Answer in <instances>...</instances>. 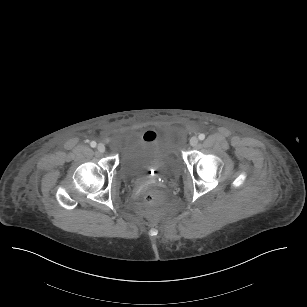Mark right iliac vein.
I'll return each instance as SVG.
<instances>
[{
  "label": "right iliac vein",
  "mask_w": 307,
  "mask_h": 307,
  "mask_svg": "<svg viewBox=\"0 0 307 307\" xmlns=\"http://www.w3.org/2000/svg\"><path fill=\"white\" fill-rule=\"evenodd\" d=\"M97 150H98L100 153H104L105 150H106L105 145L102 144V143L98 144Z\"/></svg>",
  "instance_id": "right-iliac-vein-1"
}]
</instances>
